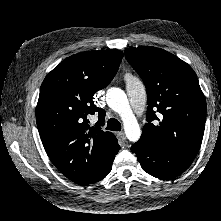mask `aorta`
Here are the masks:
<instances>
[{"mask_svg":"<svg viewBox=\"0 0 221 221\" xmlns=\"http://www.w3.org/2000/svg\"><path fill=\"white\" fill-rule=\"evenodd\" d=\"M106 102L113 111L120 115L127 138L132 142L138 141L141 130L125 92L120 88H109L106 93Z\"/></svg>","mask_w":221,"mask_h":221,"instance_id":"1","label":"aorta"}]
</instances>
